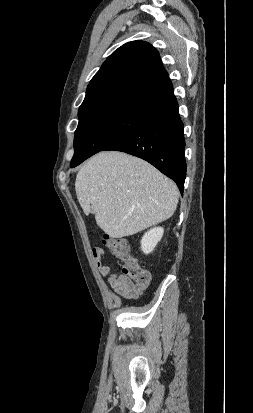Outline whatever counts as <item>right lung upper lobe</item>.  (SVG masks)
Wrapping results in <instances>:
<instances>
[{
  "mask_svg": "<svg viewBox=\"0 0 253 413\" xmlns=\"http://www.w3.org/2000/svg\"><path fill=\"white\" fill-rule=\"evenodd\" d=\"M175 101L158 51L147 42L132 41L111 54L92 78L78 117L112 111L148 116Z\"/></svg>",
  "mask_w": 253,
  "mask_h": 413,
  "instance_id": "right-lung-upper-lobe-1",
  "label": "right lung upper lobe"
}]
</instances>
